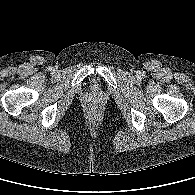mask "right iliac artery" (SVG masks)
Returning <instances> with one entry per match:
<instances>
[{
  "label": "right iliac artery",
  "instance_id": "obj_1",
  "mask_svg": "<svg viewBox=\"0 0 195 195\" xmlns=\"http://www.w3.org/2000/svg\"><path fill=\"white\" fill-rule=\"evenodd\" d=\"M48 70L51 71L52 70V67H49Z\"/></svg>",
  "mask_w": 195,
  "mask_h": 195
}]
</instances>
